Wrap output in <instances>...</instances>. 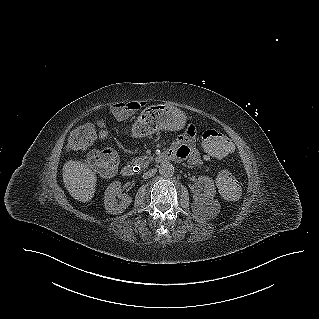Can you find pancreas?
<instances>
[{"instance_id":"pancreas-1","label":"pancreas","mask_w":319,"mask_h":319,"mask_svg":"<svg viewBox=\"0 0 319 319\" xmlns=\"http://www.w3.org/2000/svg\"><path fill=\"white\" fill-rule=\"evenodd\" d=\"M152 160V157H148V156H143V157H136L132 160V162L135 165L140 166L141 168H146L150 161Z\"/></svg>"}]
</instances>
